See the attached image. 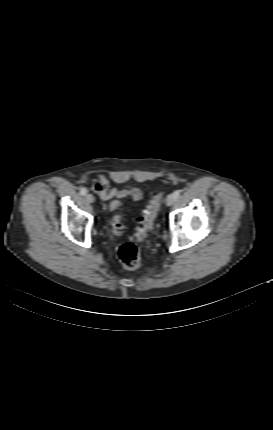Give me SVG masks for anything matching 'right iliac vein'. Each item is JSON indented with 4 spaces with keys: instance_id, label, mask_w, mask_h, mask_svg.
<instances>
[{
    "instance_id": "1",
    "label": "right iliac vein",
    "mask_w": 273,
    "mask_h": 430,
    "mask_svg": "<svg viewBox=\"0 0 273 430\" xmlns=\"http://www.w3.org/2000/svg\"><path fill=\"white\" fill-rule=\"evenodd\" d=\"M86 201L88 203H93L95 201V198H94V196L92 194H87L86 195Z\"/></svg>"
}]
</instances>
